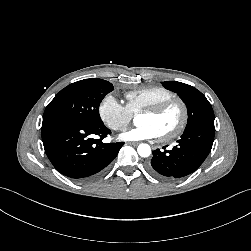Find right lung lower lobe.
I'll use <instances>...</instances> for the list:
<instances>
[{
  "mask_svg": "<svg viewBox=\"0 0 251 251\" xmlns=\"http://www.w3.org/2000/svg\"><path fill=\"white\" fill-rule=\"evenodd\" d=\"M110 133L104 124L50 120L42 125V141L49 160L61 174L78 181L100 175L117 156L123 143L102 142Z\"/></svg>",
  "mask_w": 251,
  "mask_h": 251,
  "instance_id": "obj_1",
  "label": "right lung lower lobe"
}]
</instances>
